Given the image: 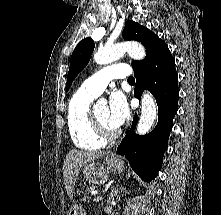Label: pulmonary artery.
<instances>
[{"label": "pulmonary artery", "mask_w": 221, "mask_h": 215, "mask_svg": "<svg viewBox=\"0 0 221 215\" xmlns=\"http://www.w3.org/2000/svg\"><path fill=\"white\" fill-rule=\"evenodd\" d=\"M131 75V69L126 64H115L105 67L88 78L81 85V90L95 97L100 95L107 84L118 78H127Z\"/></svg>", "instance_id": "1"}]
</instances>
